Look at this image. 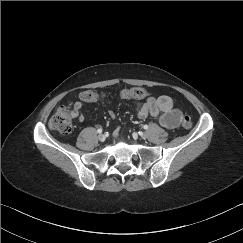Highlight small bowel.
<instances>
[{"label":"small bowel","mask_w":243,"mask_h":243,"mask_svg":"<svg viewBox=\"0 0 243 243\" xmlns=\"http://www.w3.org/2000/svg\"><path fill=\"white\" fill-rule=\"evenodd\" d=\"M136 112L139 119H145L148 116H159L160 125L169 129L177 127L183 116L182 111L175 108L173 99L167 95L148 96L144 102L137 104ZM109 114L113 115V111H110ZM73 115L80 122L84 120L82 98L74 102ZM120 129V126H116L114 134L117 135Z\"/></svg>","instance_id":"obj_1"}]
</instances>
